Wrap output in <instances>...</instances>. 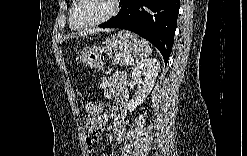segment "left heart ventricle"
Returning <instances> with one entry per match:
<instances>
[{
    "label": "left heart ventricle",
    "mask_w": 247,
    "mask_h": 156,
    "mask_svg": "<svg viewBox=\"0 0 247 156\" xmlns=\"http://www.w3.org/2000/svg\"><path fill=\"white\" fill-rule=\"evenodd\" d=\"M110 1L83 0L75 12V21L79 24L91 23L110 11Z\"/></svg>",
    "instance_id": "obj_1"
}]
</instances>
